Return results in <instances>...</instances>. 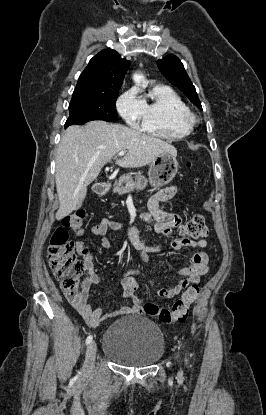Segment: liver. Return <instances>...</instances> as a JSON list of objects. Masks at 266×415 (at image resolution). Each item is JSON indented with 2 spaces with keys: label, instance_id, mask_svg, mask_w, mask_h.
Here are the masks:
<instances>
[{
  "label": "liver",
  "instance_id": "1",
  "mask_svg": "<svg viewBox=\"0 0 266 415\" xmlns=\"http://www.w3.org/2000/svg\"><path fill=\"white\" fill-rule=\"evenodd\" d=\"M127 154L117 161L125 168L150 164L162 153L177 155L171 144L120 124L90 121L84 127L70 126L61 138L56 155V189L61 220L82 206L87 187L101 168L119 152Z\"/></svg>",
  "mask_w": 266,
  "mask_h": 415
}]
</instances>
